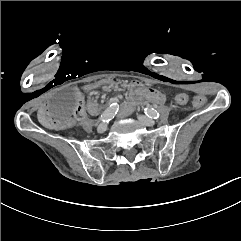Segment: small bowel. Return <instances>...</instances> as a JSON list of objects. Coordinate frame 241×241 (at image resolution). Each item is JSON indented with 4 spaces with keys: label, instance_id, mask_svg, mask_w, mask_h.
<instances>
[{
    "label": "small bowel",
    "instance_id": "c3829d8e",
    "mask_svg": "<svg viewBox=\"0 0 241 241\" xmlns=\"http://www.w3.org/2000/svg\"><path fill=\"white\" fill-rule=\"evenodd\" d=\"M115 86H116L115 82H113L111 80H107V81H103L99 84L87 85L85 87V90L86 91L95 90L99 87H102L104 89H111V88H114ZM130 86L133 89L139 90V89H141L142 84L139 81L133 80V81H131ZM144 94H145V96H147V98L149 100L161 102L164 99L163 94L158 93V91L156 89L147 88V89H145ZM88 107L92 113H95L97 111V104L92 99L89 100ZM48 110H49L48 102H46V101L41 102L39 112H40V117H41L43 123H45L46 127L58 129V128H63V127L65 128L67 126L65 123L63 124V123H60V121H58V120L51 119L49 116Z\"/></svg>",
    "mask_w": 241,
    "mask_h": 241
}]
</instances>
